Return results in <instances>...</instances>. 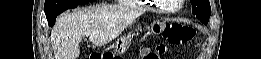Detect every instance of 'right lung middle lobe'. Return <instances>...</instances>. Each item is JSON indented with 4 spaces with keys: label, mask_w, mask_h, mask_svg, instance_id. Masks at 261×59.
Returning <instances> with one entry per match:
<instances>
[{
    "label": "right lung middle lobe",
    "mask_w": 261,
    "mask_h": 59,
    "mask_svg": "<svg viewBox=\"0 0 261 59\" xmlns=\"http://www.w3.org/2000/svg\"><path fill=\"white\" fill-rule=\"evenodd\" d=\"M94 0H45L44 11L46 17L57 14L65 7L74 5H84Z\"/></svg>",
    "instance_id": "right-lung-middle-lobe-1"
}]
</instances>
